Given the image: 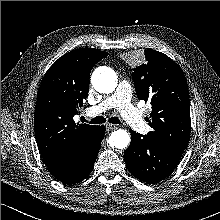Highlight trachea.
Instances as JSON below:
<instances>
[{
	"label": "trachea",
	"mask_w": 220,
	"mask_h": 220,
	"mask_svg": "<svg viewBox=\"0 0 220 220\" xmlns=\"http://www.w3.org/2000/svg\"><path fill=\"white\" fill-rule=\"evenodd\" d=\"M83 121H86V120L83 118ZM105 122H106V118L103 116H96L90 121V123L92 124H101ZM108 122L112 124H121V121L118 119V117H111L108 119Z\"/></svg>",
	"instance_id": "obj_1"
}]
</instances>
